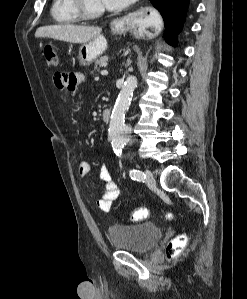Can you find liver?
<instances>
[{
	"instance_id": "obj_1",
	"label": "liver",
	"mask_w": 247,
	"mask_h": 299,
	"mask_svg": "<svg viewBox=\"0 0 247 299\" xmlns=\"http://www.w3.org/2000/svg\"><path fill=\"white\" fill-rule=\"evenodd\" d=\"M101 31L100 27L60 24L39 27L35 32V37H47L70 43L84 44L100 36Z\"/></svg>"
}]
</instances>
